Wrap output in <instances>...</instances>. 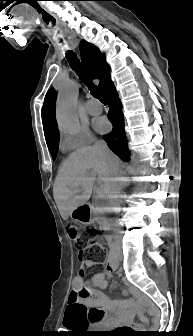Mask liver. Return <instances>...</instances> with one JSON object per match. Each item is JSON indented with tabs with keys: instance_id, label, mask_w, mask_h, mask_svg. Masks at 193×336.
<instances>
[{
	"instance_id": "6515ba94",
	"label": "liver",
	"mask_w": 193,
	"mask_h": 336,
	"mask_svg": "<svg viewBox=\"0 0 193 336\" xmlns=\"http://www.w3.org/2000/svg\"><path fill=\"white\" fill-rule=\"evenodd\" d=\"M121 172L119 158L111 151L108 158L94 146L71 153L63 162L53 187L54 200L63 220L90 199L96 180L98 195L107 197L111 180Z\"/></svg>"
}]
</instances>
